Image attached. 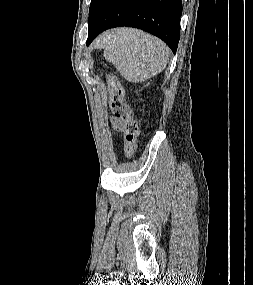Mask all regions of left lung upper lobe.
<instances>
[{"mask_svg":"<svg viewBox=\"0 0 253 285\" xmlns=\"http://www.w3.org/2000/svg\"><path fill=\"white\" fill-rule=\"evenodd\" d=\"M107 2L108 0H91L89 8L88 30L93 26Z\"/></svg>","mask_w":253,"mask_h":285,"instance_id":"obj_1","label":"left lung upper lobe"}]
</instances>
